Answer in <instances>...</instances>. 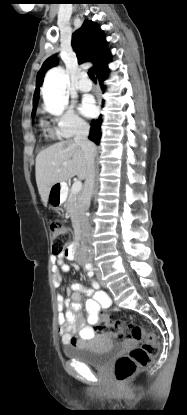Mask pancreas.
Here are the masks:
<instances>
[{
    "mask_svg": "<svg viewBox=\"0 0 187 415\" xmlns=\"http://www.w3.org/2000/svg\"><path fill=\"white\" fill-rule=\"evenodd\" d=\"M64 208L71 217L73 227L78 225V205H77V196L72 193L70 190L68 193L67 200L64 204Z\"/></svg>",
    "mask_w": 187,
    "mask_h": 415,
    "instance_id": "obj_1",
    "label": "pancreas"
}]
</instances>
